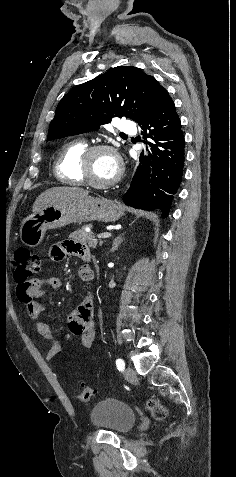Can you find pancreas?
<instances>
[{
    "mask_svg": "<svg viewBox=\"0 0 236 477\" xmlns=\"http://www.w3.org/2000/svg\"><path fill=\"white\" fill-rule=\"evenodd\" d=\"M70 238L76 243L88 244V246L91 248H96L97 246V240L95 239V236L92 232H86L85 226L71 233ZM102 243V241L99 242L100 245H102Z\"/></svg>",
    "mask_w": 236,
    "mask_h": 477,
    "instance_id": "pancreas-1",
    "label": "pancreas"
}]
</instances>
